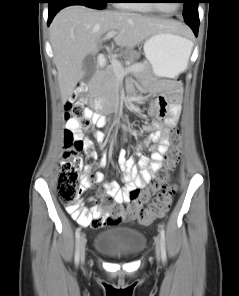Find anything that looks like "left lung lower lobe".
Returning a JSON list of instances; mask_svg holds the SVG:
<instances>
[{
    "label": "left lung lower lobe",
    "instance_id": "0a47b994",
    "mask_svg": "<svg viewBox=\"0 0 239 296\" xmlns=\"http://www.w3.org/2000/svg\"><path fill=\"white\" fill-rule=\"evenodd\" d=\"M187 24L192 28V30L194 31V34L197 36L198 29H199V21L198 22H189Z\"/></svg>",
    "mask_w": 239,
    "mask_h": 296
}]
</instances>
